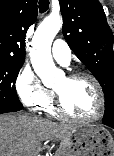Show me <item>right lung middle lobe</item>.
<instances>
[{
    "mask_svg": "<svg viewBox=\"0 0 114 156\" xmlns=\"http://www.w3.org/2000/svg\"><path fill=\"white\" fill-rule=\"evenodd\" d=\"M23 63V60L0 59V106L23 108L15 88Z\"/></svg>",
    "mask_w": 114,
    "mask_h": 156,
    "instance_id": "1",
    "label": "right lung middle lobe"
}]
</instances>
